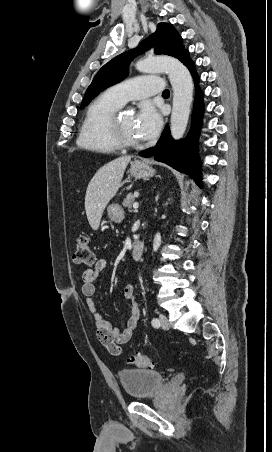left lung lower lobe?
<instances>
[{"mask_svg":"<svg viewBox=\"0 0 272 452\" xmlns=\"http://www.w3.org/2000/svg\"><path fill=\"white\" fill-rule=\"evenodd\" d=\"M180 61L187 66L194 77L196 85L195 102L192 114V129L185 140L175 141L171 137L169 128L166 127L156 146L141 152L140 155L149 157L153 154L155 160L166 163L180 172L195 177L197 183L201 185V180L199 178L200 162L198 159L197 141L204 109L202 92L198 87L199 78L188 52Z\"/></svg>","mask_w":272,"mask_h":452,"instance_id":"obj_1","label":"left lung lower lobe"}]
</instances>
